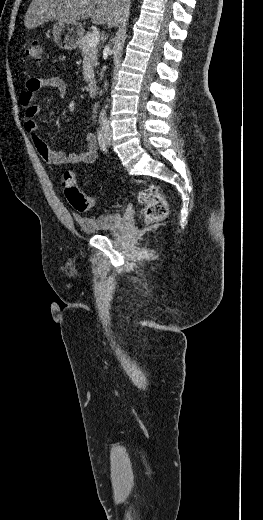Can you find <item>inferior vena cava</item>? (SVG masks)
<instances>
[{
  "label": "inferior vena cava",
  "instance_id": "inferior-vena-cava-1",
  "mask_svg": "<svg viewBox=\"0 0 263 520\" xmlns=\"http://www.w3.org/2000/svg\"><path fill=\"white\" fill-rule=\"evenodd\" d=\"M99 119H100L99 123H100L102 129L105 131H109V122L107 120L106 112L104 109H102V111L100 112Z\"/></svg>",
  "mask_w": 263,
  "mask_h": 520
}]
</instances>
